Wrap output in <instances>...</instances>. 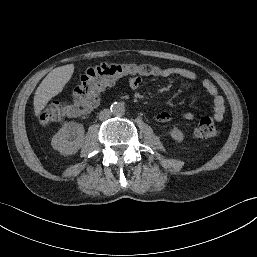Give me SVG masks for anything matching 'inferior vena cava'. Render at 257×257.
Returning <instances> with one entry per match:
<instances>
[{"label": "inferior vena cava", "instance_id": "obj_1", "mask_svg": "<svg viewBox=\"0 0 257 257\" xmlns=\"http://www.w3.org/2000/svg\"><path fill=\"white\" fill-rule=\"evenodd\" d=\"M111 117V111L109 109H104L99 113L100 120H106Z\"/></svg>", "mask_w": 257, "mask_h": 257}]
</instances>
